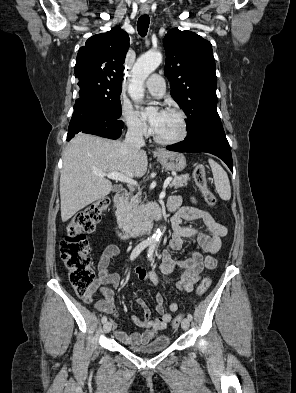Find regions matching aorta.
<instances>
[{
    "label": "aorta",
    "mask_w": 296,
    "mask_h": 393,
    "mask_svg": "<svg viewBox=\"0 0 296 393\" xmlns=\"http://www.w3.org/2000/svg\"><path fill=\"white\" fill-rule=\"evenodd\" d=\"M162 55L159 52H148L140 56L132 69V80L129 85V94L133 101L141 102L144 98V88L143 84L146 78L161 64ZM154 112L151 108L144 114H149ZM161 229L152 235L151 241L156 243L161 237Z\"/></svg>",
    "instance_id": "obj_1"
}]
</instances>
